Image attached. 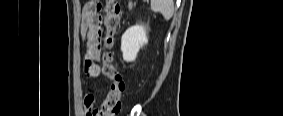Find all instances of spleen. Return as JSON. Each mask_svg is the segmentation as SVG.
Here are the masks:
<instances>
[{"instance_id":"1","label":"spleen","mask_w":283,"mask_h":116,"mask_svg":"<svg viewBox=\"0 0 283 116\" xmlns=\"http://www.w3.org/2000/svg\"><path fill=\"white\" fill-rule=\"evenodd\" d=\"M151 10L161 13L164 19L168 21L174 13L173 0H151Z\"/></svg>"}]
</instances>
